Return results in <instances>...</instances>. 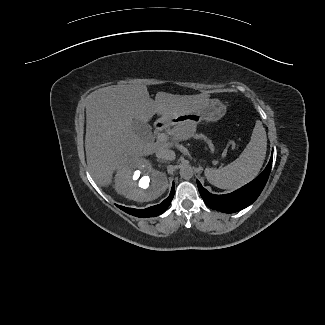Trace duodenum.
I'll list each match as a JSON object with an SVG mask.
<instances>
[{"label": "duodenum", "mask_w": 325, "mask_h": 325, "mask_svg": "<svg viewBox=\"0 0 325 325\" xmlns=\"http://www.w3.org/2000/svg\"><path fill=\"white\" fill-rule=\"evenodd\" d=\"M165 127V124L164 122H156L155 125H154V131L156 133L160 132L161 130H163Z\"/></svg>", "instance_id": "duodenum-1"}]
</instances>
